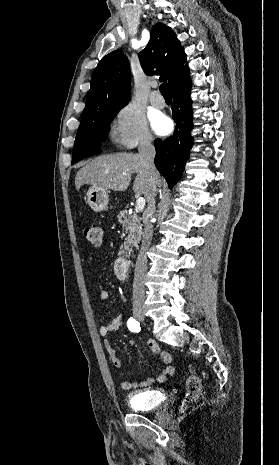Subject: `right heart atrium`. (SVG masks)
Here are the masks:
<instances>
[{"label":"right heart atrium","mask_w":279,"mask_h":465,"mask_svg":"<svg viewBox=\"0 0 279 465\" xmlns=\"http://www.w3.org/2000/svg\"><path fill=\"white\" fill-rule=\"evenodd\" d=\"M110 136L124 149L147 146L153 141L144 115L131 104L123 105L116 111Z\"/></svg>","instance_id":"right-heart-atrium-1"}]
</instances>
